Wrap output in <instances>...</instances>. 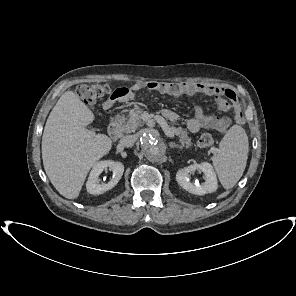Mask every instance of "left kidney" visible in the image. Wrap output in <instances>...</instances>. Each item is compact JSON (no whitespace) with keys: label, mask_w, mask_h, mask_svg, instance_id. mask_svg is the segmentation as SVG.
Instances as JSON below:
<instances>
[{"label":"left kidney","mask_w":296,"mask_h":296,"mask_svg":"<svg viewBox=\"0 0 296 296\" xmlns=\"http://www.w3.org/2000/svg\"><path fill=\"white\" fill-rule=\"evenodd\" d=\"M196 170L203 172L205 175V182L201 185L199 183H191L190 174ZM176 181L186 191L195 195H204L215 192L218 188L217 177L213 167L208 162L201 164H192L188 167L178 170L176 174Z\"/></svg>","instance_id":"1"}]
</instances>
